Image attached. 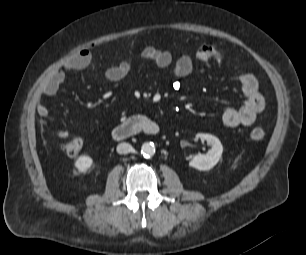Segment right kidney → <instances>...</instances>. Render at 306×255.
<instances>
[{
  "label": "right kidney",
  "instance_id": "1",
  "mask_svg": "<svg viewBox=\"0 0 306 255\" xmlns=\"http://www.w3.org/2000/svg\"><path fill=\"white\" fill-rule=\"evenodd\" d=\"M93 164V160L90 156L83 155L76 159L74 166L78 170V173L86 174Z\"/></svg>",
  "mask_w": 306,
  "mask_h": 255
}]
</instances>
